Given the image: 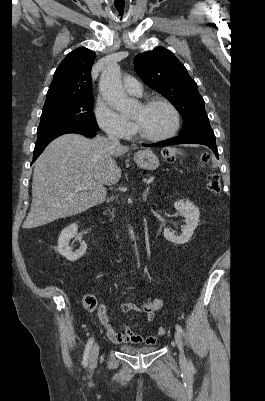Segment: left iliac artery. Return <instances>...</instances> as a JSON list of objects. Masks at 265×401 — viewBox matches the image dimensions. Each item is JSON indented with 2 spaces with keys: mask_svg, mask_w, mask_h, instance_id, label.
Here are the masks:
<instances>
[{
  "mask_svg": "<svg viewBox=\"0 0 265 401\" xmlns=\"http://www.w3.org/2000/svg\"><path fill=\"white\" fill-rule=\"evenodd\" d=\"M176 330H177L180 334H183V329H182V327H181L179 324H176ZM189 367H190V368H193V364H192L191 361H189Z\"/></svg>",
  "mask_w": 265,
  "mask_h": 401,
  "instance_id": "left-iliac-artery-1",
  "label": "left iliac artery"
}]
</instances>
